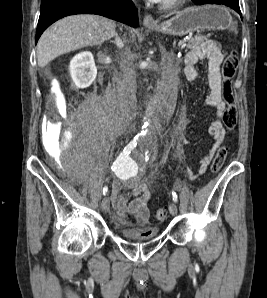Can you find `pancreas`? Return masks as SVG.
<instances>
[{"mask_svg": "<svg viewBox=\"0 0 267 298\" xmlns=\"http://www.w3.org/2000/svg\"><path fill=\"white\" fill-rule=\"evenodd\" d=\"M205 39H206V37L203 35L194 36L187 41L188 42L187 48L192 49V48L198 46L200 43H202Z\"/></svg>", "mask_w": 267, "mask_h": 298, "instance_id": "obj_1", "label": "pancreas"}]
</instances>
